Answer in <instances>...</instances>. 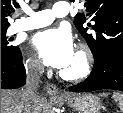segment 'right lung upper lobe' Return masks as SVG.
I'll return each instance as SVG.
<instances>
[{"mask_svg": "<svg viewBox=\"0 0 123 113\" xmlns=\"http://www.w3.org/2000/svg\"><path fill=\"white\" fill-rule=\"evenodd\" d=\"M18 7L19 4L16 2V0H1V28L9 27L7 16Z\"/></svg>", "mask_w": 123, "mask_h": 113, "instance_id": "cb5924a9", "label": "right lung upper lobe"}]
</instances>
